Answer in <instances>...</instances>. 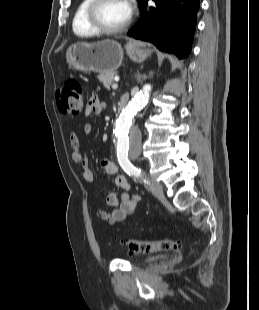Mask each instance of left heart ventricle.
I'll use <instances>...</instances> for the list:
<instances>
[{"instance_id":"1","label":"left heart ventricle","mask_w":259,"mask_h":310,"mask_svg":"<svg viewBox=\"0 0 259 310\" xmlns=\"http://www.w3.org/2000/svg\"><path fill=\"white\" fill-rule=\"evenodd\" d=\"M98 18L109 28L119 27L128 19L122 0H106L98 10Z\"/></svg>"}]
</instances>
